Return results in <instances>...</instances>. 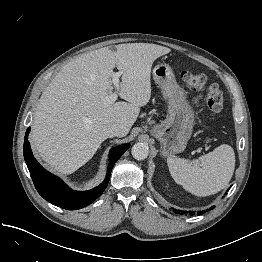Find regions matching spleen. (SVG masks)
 <instances>
[{
	"mask_svg": "<svg viewBox=\"0 0 262 262\" xmlns=\"http://www.w3.org/2000/svg\"><path fill=\"white\" fill-rule=\"evenodd\" d=\"M167 164L174 181L200 197L213 195L224 189L235 167L233 148L222 144L194 161L168 157Z\"/></svg>",
	"mask_w": 262,
	"mask_h": 262,
	"instance_id": "3e777b00",
	"label": "spleen"
}]
</instances>
